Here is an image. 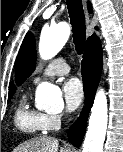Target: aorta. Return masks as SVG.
<instances>
[{"label": "aorta", "mask_w": 123, "mask_h": 152, "mask_svg": "<svg viewBox=\"0 0 123 152\" xmlns=\"http://www.w3.org/2000/svg\"><path fill=\"white\" fill-rule=\"evenodd\" d=\"M71 28L68 23L60 22L44 28L39 42V55L43 60L52 59L63 48L70 36ZM60 89L44 82L37 87L35 106L46 112L59 111L63 108ZM108 122L107 98L103 89L97 91L89 126L83 144V152H102Z\"/></svg>", "instance_id": "obj_1"}]
</instances>
